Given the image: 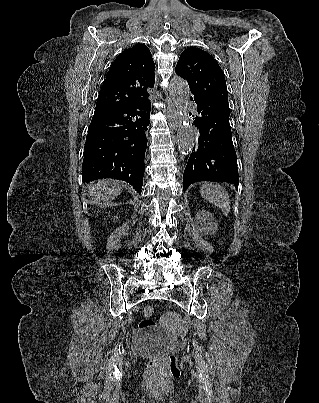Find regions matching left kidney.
Here are the masks:
<instances>
[{"label":"left kidney","instance_id":"left-kidney-1","mask_svg":"<svg viewBox=\"0 0 319 403\" xmlns=\"http://www.w3.org/2000/svg\"><path fill=\"white\" fill-rule=\"evenodd\" d=\"M199 217H200L202 220H204V222H205L206 220H214V216H213L212 214L208 213V212H205V211L200 212Z\"/></svg>","mask_w":319,"mask_h":403}]
</instances>
